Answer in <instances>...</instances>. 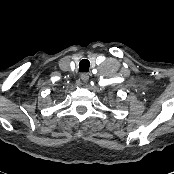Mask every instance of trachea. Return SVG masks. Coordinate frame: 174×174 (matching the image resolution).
Masks as SVG:
<instances>
[{
	"label": "trachea",
	"mask_w": 174,
	"mask_h": 174,
	"mask_svg": "<svg viewBox=\"0 0 174 174\" xmlns=\"http://www.w3.org/2000/svg\"><path fill=\"white\" fill-rule=\"evenodd\" d=\"M90 67V62L87 59H82L79 63V72H88Z\"/></svg>",
	"instance_id": "trachea-1"
}]
</instances>
